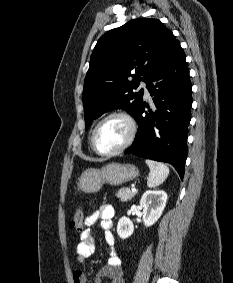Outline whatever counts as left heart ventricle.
<instances>
[{
	"instance_id": "b2bd125f",
	"label": "left heart ventricle",
	"mask_w": 233,
	"mask_h": 283,
	"mask_svg": "<svg viewBox=\"0 0 233 283\" xmlns=\"http://www.w3.org/2000/svg\"><path fill=\"white\" fill-rule=\"evenodd\" d=\"M129 126L119 117L104 122L96 135V146L102 152H110L120 147L127 139Z\"/></svg>"
}]
</instances>
